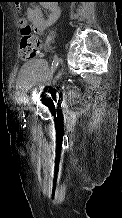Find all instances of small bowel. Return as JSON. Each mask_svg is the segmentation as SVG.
I'll list each match as a JSON object with an SVG mask.
<instances>
[{
	"label": "small bowel",
	"instance_id": "small-bowel-1",
	"mask_svg": "<svg viewBox=\"0 0 122 218\" xmlns=\"http://www.w3.org/2000/svg\"><path fill=\"white\" fill-rule=\"evenodd\" d=\"M43 7L48 14V17L45 18L43 10L40 7L28 8L26 11V19L20 17V25L29 21L35 32L41 35L44 30L53 24L59 17L60 10L58 6L52 0H46L43 3ZM41 52L38 53V56H42Z\"/></svg>",
	"mask_w": 122,
	"mask_h": 218
}]
</instances>
